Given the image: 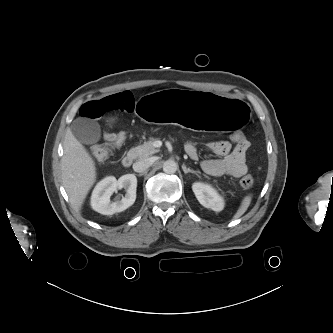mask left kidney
I'll use <instances>...</instances> for the list:
<instances>
[{
  "label": "left kidney",
  "instance_id": "5707ae66",
  "mask_svg": "<svg viewBox=\"0 0 333 333\" xmlns=\"http://www.w3.org/2000/svg\"><path fill=\"white\" fill-rule=\"evenodd\" d=\"M193 192L200 202L206 208L214 211H221L224 207V200L217 191L208 184L194 183L192 186Z\"/></svg>",
  "mask_w": 333,
  "mask_h": 333
}]
</instances>
